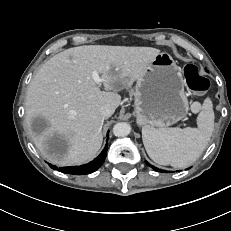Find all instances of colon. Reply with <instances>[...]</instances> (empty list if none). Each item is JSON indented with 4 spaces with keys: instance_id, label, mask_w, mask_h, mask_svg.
Returning a JSON list of instances; mask_svg holds the SVG:
<instances>
[{
    "instance_id": "5ec220e1",
    "label": "colon",
    "mask_w": 231,
    "mask_h": 231,
    "mask_svg": "<svg viewBox=\"0 0 231 231\" xmlns=\"http://www.w3.org/2000/svg\"><path fill=\"white\" fill-rule=\"evenodd\" d=\"M188 87L195 92H203L209 88V81L199 74L196 66L188 64L183 69Z\"/></svg>"
}]
</instances>
